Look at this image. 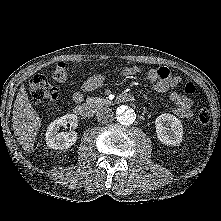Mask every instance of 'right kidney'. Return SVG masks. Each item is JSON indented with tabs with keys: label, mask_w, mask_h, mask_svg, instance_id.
<instances>
[{
	"label": "right kidney",
	"mask_w": 221,
	"mask_h": 221,
	"mask_svg": "<svg viewBox=\"0 0 221 221\" xmlns=\"http://www.w3.org/2000/svg\"><path fill=\"white\" fill-rule=\"evenodd\" d=\"M76 128L78 125V118L75 114H66L57 120H54L46 132V145L52 149H68L74 145L78 139L77 133L72 130L70 132H59L61 127Z\"/></svg>",
	"instance_id": "ca27d5eb"
}]
</instances>
